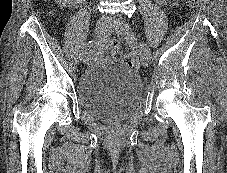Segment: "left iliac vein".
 Instances as JSON below:
<instances>
[{"label": "left iliac vein", "mask_w": 227, "mask_h": 173, "mask_svg": "<svg viewBox=\"0 0 227 173\" xmlns=\"http://www.w3.org/2000/svg\"><path fill=\"white\" fill-rule=\"evenodd\" d=\"M108 27L114 29L118 35H120L129 45L138 47V42L135 34L126 27L125 23L115 17L108 19ZM141 64L143 66H148L150 57L145 53L141 52Z\"/></svg>", "instance_id": "obj_1"}]
</instances>
